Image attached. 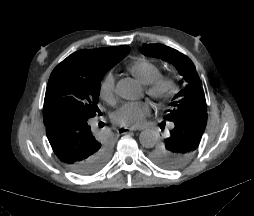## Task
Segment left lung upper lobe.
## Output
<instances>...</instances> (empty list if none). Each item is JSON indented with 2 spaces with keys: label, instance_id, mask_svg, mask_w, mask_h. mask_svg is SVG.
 Listing matches in <instances>:
<instances>
[{
  "label": "left lung upper lobe",
  "instance_id": "obj_1",
  "mask_svg": "<svg viewBox=\"0 0 254 216\" xmlns=\"http://www.w3.org/2000/svg\"><path fill=\"white\" fill-rule=\"evenodd\" d=\"M141 52L172 64L186 81L160 123L161 130L167 128L169 134L164 143L150 153L162 166L177 168L194 156L207 125L208 107L202 82L192 60L174 48L150 43L143 44Z\"/></svg>",
  "mask_w": 254,
  "mask_h": 216
}]
</instances>
